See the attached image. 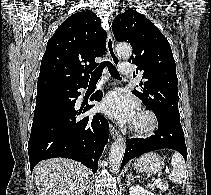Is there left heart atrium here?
I'll use <instances>...</instances> for the list:
<instances>
[{"mask_svg":"<svg viewBox=\"0 0 211 195\" xmlns=\"http://www.w3.org/2000/svg\"><path fill=\"white\" fill-rule=\"evenodd\" d=\"M101 109L116 121L129 123L135 120L138 105L130 96L123 95L119 91H112L104 98Z\"/></svg>","mask_w":211,"mask_h":195,"instance_id":"left-heart-atrium-1","label":"left heart atrium"}]
</instances>
